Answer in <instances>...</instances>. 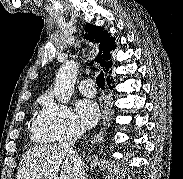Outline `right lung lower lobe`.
<instances>
[{
    "label": "right lung lower lobe",
    "instance_id": "right-lung-lower-lobe-1",
    "mask_svg": "<svg viewBox=\"0 0 183 179\" xmlns=\"http://www.w3.org/2000/svg\"><path fill=\"white\" fill-rule=\"evenodd\" d=\"M107 82H108V85L110 86V88H113L112 84H113L114 82H112L111 80H109V81H107Z\"/></svg>",
    "mask_w": 183,
    "mask_h": 179
}]
</instances>
